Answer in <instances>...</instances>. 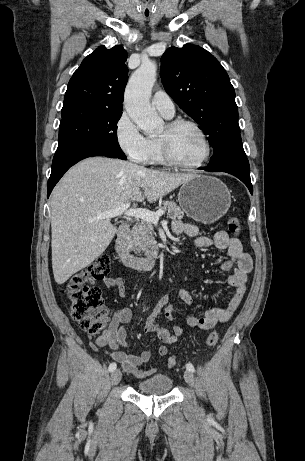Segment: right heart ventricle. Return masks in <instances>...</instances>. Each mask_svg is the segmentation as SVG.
<instances>
[{
	"label": "right heart ventricle",
	"instance_id": "obj_1",
	"mask_svg": "<svg viewBox=\"0 0 305 461\" xmlns=\"http://www.w3.org/2000/svg\"><path fill=\"white\" fill-rule=\"evenodd\" d=\"M149 141H150V151H149V157H148L147 163L162 164V165L167 164L161 152L159 139L152 138V139H149Z\"/></svg>",
	"mask_w": 305,
	"mask_h": 461
}]
</instances>
